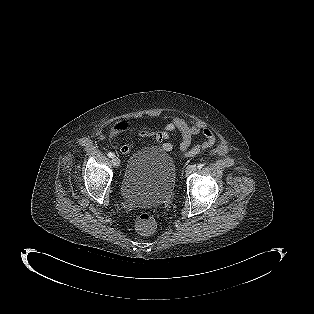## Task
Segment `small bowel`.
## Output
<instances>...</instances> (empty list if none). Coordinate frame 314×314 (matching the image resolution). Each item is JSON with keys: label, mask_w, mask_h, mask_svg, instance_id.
<instances>
[{"label": "small bowel", "mask_w": 314, "mask_h": 314, "mask_svg": "<svg viewBox=\"0 0 314 314\" xmlns=\"http://www.w3.org/2000/svg\"><path fill=\"white\" fill-rule=\"evenodd\" d=\"M178 131L181 136L180 149L188 155H194L202 149H208L215 144L216 138L214 132L200 124H189L185 120L174 117L171 121L167 122L162 130H142L138 133V139H150L155 142L161 143L162 150L170 152L173 145L170 141V135ZM202 133L203 140L192 147V138L194 135ZM135 141H130L120 147V153L125 155L133 148Z\"/></svg>", "instance_id": "obj_1"}]
</instances>
